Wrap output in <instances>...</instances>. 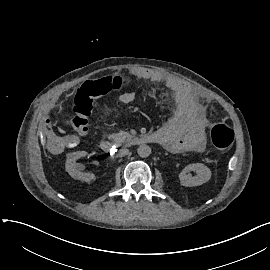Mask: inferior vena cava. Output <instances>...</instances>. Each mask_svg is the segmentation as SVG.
Masks as SVG:
<instances>
[{"label":"inferior vena cava","instance_id":"602c4592","mask_svg":"<svg viewBox=\"0 0 270 270\" xmlns=\"http://www.w3.org/2000/svg\"><path fill=\"white\" fill-rule=\"evenodd\" d=\"M129 153L128 149H121L119 150V152L117 153V157H124L125 155H127Z\"/></svg>","mask_w":270,"mask_h":270}]
</instances>
